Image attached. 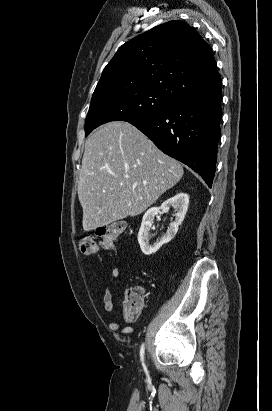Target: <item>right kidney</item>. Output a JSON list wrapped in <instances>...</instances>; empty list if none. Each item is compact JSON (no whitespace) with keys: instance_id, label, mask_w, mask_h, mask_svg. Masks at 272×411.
Masks as SVG:
<instances>
[{"instance_id":"ca27d5eb","label":"right kidney","mask_w":272,"mask_h":411,"mask_svg":"<svg viewBox=\"0 0 272 411\" xmlns=\"http://www.w3.org/2000/svg\"><path fill=\"white\" fill-rule=\"evenodd\" d=\"M189 204V196L186 193L179 192L172 198H169L161 204L160 207L150 208L143 216L141 227L138 233V242L142 252L145 255L156 253L159 248L170 242L178 232V227L184 220ZM175 210V220L170 224L166 234L155 244L149 245V231L152 227L155 216L160 212H168L170 208Z\"/></svg>"}]
</instances>
